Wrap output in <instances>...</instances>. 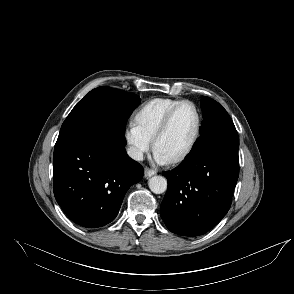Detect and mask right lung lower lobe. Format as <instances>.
Returning a JSON list of instances; mask_svg holds the SVG:
<instances>
[{
  "mask_svg": "<svg viewBox=\"0 0 294 294\" xmlns=\"http://www.w3.org/2000/svg\"><path fill=\"white\" fill-rule=\"evenodd\" d=\"M125 145L124 134L116 132L56 142L54 195L72 221L96 228L115 219L127 190L143 177Z\"/></svg>",
  "mask_w": 294,
  "mask_h": 294,
  "instance_id": "1",
  "label": "right lung lower lobe"
}]
</instances>
